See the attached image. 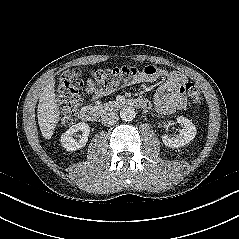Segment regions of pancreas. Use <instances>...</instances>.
Wrapping results in <instances>:
<instances>
[{
    "label": "pancreas",
    "instance_id": "pancreas-1",
    "mask_svg": "<svg viewBox=\"0 0 239 239\" xmlns=\"http://www.w3.org/2000/svg\"><path fill=\"white\" fill-rule=\"evenodd\" d=\"M96 106H97L98 108H102V107H103V104H102L101 102H97V103H96Z\"/></svg>",
    "mask_w": 239,
    "mask_h": 239
}]
</instances>
